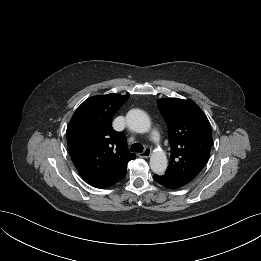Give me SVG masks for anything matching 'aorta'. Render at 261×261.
Returning <instances> with one entry per match:
<instances>
[{
	"label": "aorta",
	"instance_id": "762f6f07",
	"mask_svg": "<svg viewBox=\"0 0 261 261\" xmlns=\"http://www.w3.org/2000/svg\"><path fill=\"white\" fill-rule=\"evenodd\" d=\"M128 127L137 133H146L151 127V121L146 112L132 109L126 115ZM167 156L163 151H156L150 157V167L156 174H163L167 169Z\"/></svg>",
	"mask_w": 261,
	"mask_h": 261
}]
</instances>
